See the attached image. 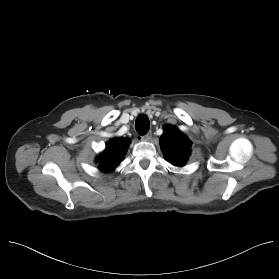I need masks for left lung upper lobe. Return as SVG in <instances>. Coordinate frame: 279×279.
I'll use <instances>...</instances> for the list:
<instances>
[{"label":"left lung upper lobe","instance_id":"5c2ea615","mask_svg":"<svg viewBox=\"0 0 279 279\" xmlns=\"http://www.w3.org/2000/svg\"><path fill=\"white\" fill-rule=\"evenodd\" d=\"M165 158L173 165L182 167L190 156L191 144L187 136L176 127L168 125L160 137Z\"/></svg>","mask_w":279,"mask_h":279}]
</instances>
